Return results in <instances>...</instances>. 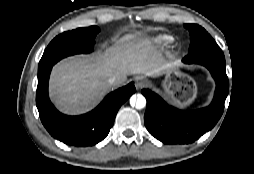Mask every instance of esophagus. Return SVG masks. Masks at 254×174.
Masks as SVG:
<instances>
[{"label": "esophagus", "instance_id": "1", "mask_svg": "<svg viewBox=\"0 0 254 174\" xmlns=\"http://www.w3.org/2000/svg\"><path fill=\"white\" fill-rule=\"evenodd\" d=\"M146 85H147V80L142 78L138 79L135 83V87L138 90L144 88Z\"/></svg>", "mask_w": 254, "mask_h": 174}]
</instances>
